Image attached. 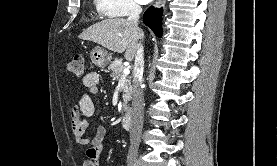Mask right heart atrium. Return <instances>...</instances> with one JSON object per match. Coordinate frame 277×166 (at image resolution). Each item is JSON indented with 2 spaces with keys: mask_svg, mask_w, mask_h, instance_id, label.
Segmentation results:
<instances>
[{
  "mask_svg": "<svg viewBox=\"0 0 277 166\" xmlns=\"http://www.w3.org/2000/svg\"><path fill=\"white\" fill-rule=\"evenodd\" d=\"M102 8L111 16H126L139 10L137 0H100Z\"/></svg>",
  "mask_w": 277,
  "mask_h": 166,
  "instance_id": "1",
  "label": "right heart atrium"
}]
</instances>
